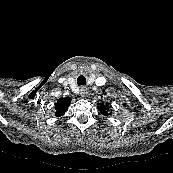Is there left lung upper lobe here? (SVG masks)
<instances>
[{"mask_svg":"<svg viewBox=\"0 0 173 173\" xmlns=\"http://www.w3.org/2000/svg\"><path fill=\"white\" fill-rule=\"evenodd\" d=\"M98 109H99V111H100L103 115H106V116L109 115L108 109H107L106 106L101 105V106L98 107Z\"/></svg>","mask_w":173,"mask_h":173,"instance_id":"left-lung-upper-lobe-1","label":"left lung upper lobe"}]
</instances>
